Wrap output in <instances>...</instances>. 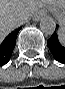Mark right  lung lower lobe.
Masks as SVG:
<instances>
[{
	"mask_svg": "<svg viewBox=\"0 0 65 89\" xmlns=\"http://www.w3.org/2000/svg\"><path fill=\"white\" fill-rule=\"evenodd\" d=\"M19 30L20 28L12 32L0 43V66L5 65L10 60L16 45V38Z\"/></svg>",
	"mask_w": 65,
	"mask_h": 89,
	"instance_id": "obj_1",
	"label": "right lung lower lobe"
}]
</instances>
